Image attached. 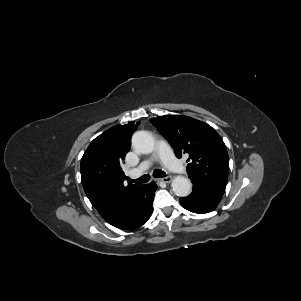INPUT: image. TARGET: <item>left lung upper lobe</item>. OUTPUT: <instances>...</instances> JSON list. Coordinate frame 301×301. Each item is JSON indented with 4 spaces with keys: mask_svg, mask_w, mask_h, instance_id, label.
<instances>
[{
    "mask_svg": "<svg viewBox=\"0 0 301 301\" xmlns=\"http://www.w3.org/2000/svg\"><path fill=\"white\" fill-rule=\"evenodd\" d=\"M150 122L169 141L178 158L189 156L188 176L225 190L228 153L219 134L208 124L183 115H164Z\"/></svg>",
    "mask_w": 301,
    "mask_h": 301,
    "instance_id": "left-lung-upper-lobe-1",
    "label": "left lung upper lobe"
}]
</instances>
